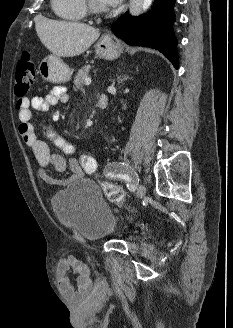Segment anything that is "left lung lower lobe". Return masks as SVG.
I'll use <instances>...</instances> for the list:
<instances>
[{
  "mask_svg": "<svg viewBox=\"0 0 233 328\" xmlns=\"http://www.w3.org/2000/svg\"><path fill=\"white\" fill-rule=\"evenodd\" d=\"M174 3L175 0H155L146 15L132 17L125 13L114 23L112 30L129 44L158 49L178 69L177 39L172 28Z\"/></svg>",
  "mask_w": 233,
  "mask_h": 328,
  "instance_id": "left-lung-lower-lobe-1",
  "label": "left lung lower lobe"
}]
</instances>
